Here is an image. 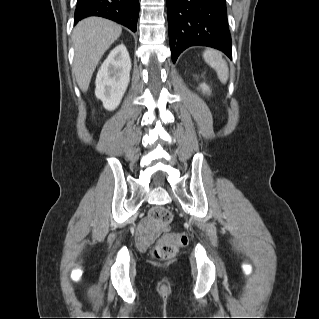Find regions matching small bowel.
Returning a JSON list of instances; mask_svg holds the SVG:
<instances>
[{
    "label": "small bowel",
    "mask_w": 319,
    "mask_h": 319,
    "mask_svg": "<svg viewBox=\"0 0 319 319\" xmlns=\"http://www.w3.org/2000/svg\"><path fill=\"white\" fill-rule=\"evenodd\" d=\"M158 228L149 221L144 220L138 225L139 238L144 241L150 240Z\"/></svg>",
    "instance_id": "c3829d8e"
}]
</instances>
